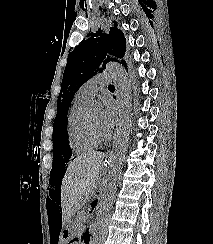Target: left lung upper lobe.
<instances>
[{"mask_svg":"<svg viewBox=\"0 0 213 244\" xmlns=\"http://www.w3.org/2000/svg\"><path fill=\"white\" fill-rule=\"evenodd\" d=\"M125 52L124 34L114 26L110 28L109 33L103 32L101 28L96 33H91L69 53L57 101V115L53 130L55 135L58 133V128H63L67 132V112L76 91L88 79L102 72L107 62L116 61L126 66L123 60Z\"/></svg>","mask_w":213,"mask_h":244,"instance_id":"left-lung-upper-lobe-1","label":"left lung upper lobe"}]
</instances>
